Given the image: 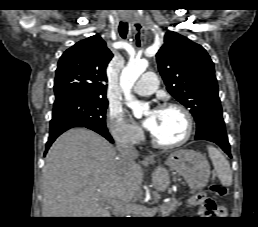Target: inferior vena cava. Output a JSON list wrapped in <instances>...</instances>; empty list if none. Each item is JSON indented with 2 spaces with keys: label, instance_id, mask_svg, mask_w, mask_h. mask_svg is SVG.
Listing matches in <instances>:
<instances>
[{
  "label": "inferior vena cava",
  "instance_id": "inferior-vena-cava-1",
  "mask_svg": "<svg viewBox=\"0 0 258 227\" xmlns=\"http://www.w3.org/2000/svg\"><path fill=\"white\" fill-rule=\"evenodd\" d=\"M116 148L119 154V158L123 162L131 163L139 156V153L134 145L131 142L122 138H117Z\"/></svg>",
  "mask_w": 258,
  "mask_h": 227
}]
</instances>
